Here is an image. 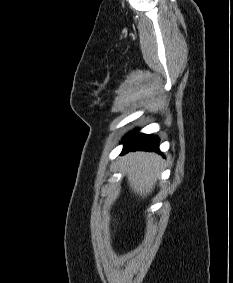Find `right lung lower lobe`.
Segmentation results:
<instances>
[{
	"label": "right lung lower lobe",
	"instance_id": "obj_1",
	"mask_svg": "<svg viewBox=\"0 0 233 283\" xmlns=\"http://www.w3.org/2000/svg\"><path fill=\"white\" fill-rule=\"evenodd\" d=\"M122 143H124V148L121 154L136 150L155 151L160 153L159 138L154 135L132 132L125 136Z\"/></svg>",
	"mask_w": 233,
	"mask_h": 283
}]
</instances>
